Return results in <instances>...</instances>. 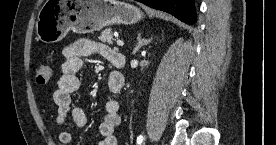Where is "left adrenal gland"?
<instances>
[{
  "mask_svg": "<svg viewBox=\"0 0 276 145\" xmlns=\"http://www.w3.org/2000/svg\"><path fill=\"white\" fill-rule=\"evenodd\" d=\"M152 41V38L149 39H141V33L138 34L137 37V44L133 50V54H135L141 47H143L144 45L149 44Z\"/></svg>",
  "mask_w": 276,
  "mask_h": 145,
  "instance_id": "1",
  "label": "left adrenal gland"
}]
</instances>
